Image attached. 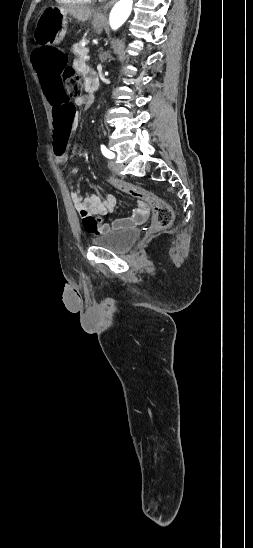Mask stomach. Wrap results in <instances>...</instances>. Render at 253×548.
<instances>
[{"label": "stomach", "instance_id": "stomach-1", "mask_svg": "<svg viewBox=\"0 0 253 548\" xmlns=\"http://www.w3.org/2000/svg\"><path fill=\"white\" fill-rule=\"evenodd\" d=\"M95 31L102 30L101 20L94 18L92 21ZM67 14L58 8L45 10L39 18L35 39L39 44H57L66 34Z\"/></svg>", "mask_w": 253, "mask_h": 548}]
</instances>
